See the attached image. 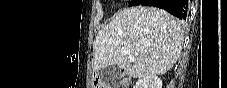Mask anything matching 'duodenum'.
<instances>
[{
  "instance_id": "obj_1",
  "label": "duodenum",
  "mask_w": 227,
  "mask_h": 88,
  "mask_svg": "<svg viewBox=\"0 0 227 88\" xmlns=\"http://www.w3.org/2000/svg\"><path fill=\"white\" fill-rule=\"evenodd\" d=\"M125 81H126V82H129V79H128V78H126V79H125Z\"/></svg>"
}]
</instances>
